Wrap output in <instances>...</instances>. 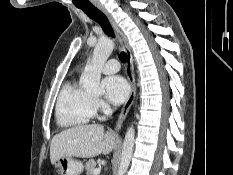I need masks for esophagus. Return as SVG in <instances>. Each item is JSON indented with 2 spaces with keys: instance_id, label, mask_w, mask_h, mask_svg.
<instances>
[{
  "instance_id": "obj_1",
  "label": "esophagus",
  "mask_w": 233,
  "mask_h": 175,
  "mask_svg": "<svg viewBox=\"0 0 233 175\" xmlns=\"http://www.w3.org/2000/svg\"><path fill=\"white\" fill-rule=\"evenodd\" d=\"M93 4L108 18L110 21L114 31L117 34V37L119 39V42L123 48V50L127 54V63H126V75L130 84V95L125 102L124 106L122 107V110L120 112V115L118 117V120L115 125V131H119L122 127V124L134 102L135 95H136V86H135V79H134V73H133V57H132V52L130 49V46L128 44L127 38L119 28L118 24L112 17V15L107 11V9L97 1H94Z\"/></svg>"
}]
</instances>
